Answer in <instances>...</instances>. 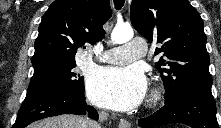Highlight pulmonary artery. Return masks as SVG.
I'll list each match as a JSON object with an SVG mask.
<instances>
[{
    "mask_svg": "<svg viewBox=\"0 0 221 128\" xmlns=\"http://www.w3.org/2000/svg\"><path fill=\"white\" fill-rule=\"evenodd\" d=\"M147 45L144 40L127 41L123 45L106 50L99 56L101 62L112 64L130 63L144 54Z\"/></svg>",
    "mask_w": 221,
    "mask_h": 128,
    "instance_id": "pulmonary-artery-1",
    "label": "pulmonary artery"
}]
</instances>
